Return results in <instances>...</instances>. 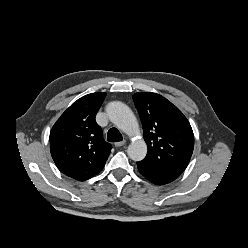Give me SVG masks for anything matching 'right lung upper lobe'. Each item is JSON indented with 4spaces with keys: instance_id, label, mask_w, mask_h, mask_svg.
<instances>
[{
    "instance_id": "right-lung-upper-lobe-1",
    "label": "right lung upper lobe",
    "mask_w": 248,
    "mask_h": 248,
    "mask_svg": "<svg viewBox=\"0 0 248 248\" xmlns=\"http://www.w3.org/2000/svg\"><path fill=\"white\" fill-rule=\"evenodd\" d=\"M106 93H91L75 101L50 132V151L58 169L78 181L99 173L112 146L105 142L95 121Z\"/></svg>"
}]
</instances>
